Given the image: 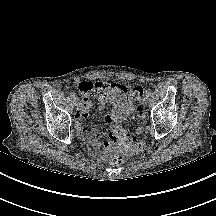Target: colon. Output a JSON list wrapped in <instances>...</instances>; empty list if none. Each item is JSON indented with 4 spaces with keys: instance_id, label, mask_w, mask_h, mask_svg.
<instances>
[{
    "instance_id": "5ec220e1",
    "label": "colon",
    "mask_w": 216,
    "mask_h": 216,
    "mask_svg": "<svg viewBox=\"0 0 216 216\" xmlns=\"http://www.w3.org/2000/svg\"><path fill=\"white\" fill-rule=\"evenodd\" d=\"M78 90L85 98H94L99 92L98 86L91 82L80 83ZM144 92L143 87L136 86L131 89L130 94L135 101H141ZM144 116L142 106L137 105L135 109L137 122L140 123ZM103 131L108 134V139L105 141L104 146L110 153V161L114 165L122 164L143 149V142L121 125L107 122L103 127Z\"/></svg>"
}]
</instances>
